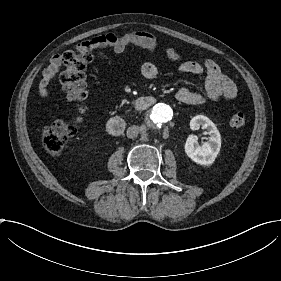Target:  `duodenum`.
<instances>
[{"instance_id":"1","label":"duodenum","mask_w":281,"mask_h":281,"mask_svg":"<svg viewBox=\"0 0 281 281\" xmlns=\"http://www.w3.org/2000/svg\"><path fill=\"white\" fill-rule=\"evenodd\" d=\"M156 99L152 96H141L137 98L133 106L135 110L142 111L150 108L153 104H155ZM126 127V121L121 116H114L106 124V131L113 136H118L123 133Z\"/></svg>"}]
</instances>
